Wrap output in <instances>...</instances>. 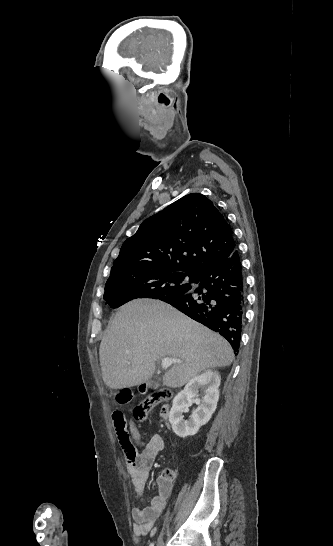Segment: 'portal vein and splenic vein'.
Here are the masks:
<instances>
[{"instance_id": "1", "label": "portal vein and splenic vein", "mask_w": 333, "mask_h": 546, "mask_svg": "<svg viewBox=\"0 0 333 546\" xmlns=\"http://www.w3.org/2000/svg\"><path fill=\"white\" fill-rule=\"evenodd\" d=\"M173 363H182L180 359H175L171 357H165L162 359L161 366L163 369L169 368Z\"/></svg>"}]
</instances>
